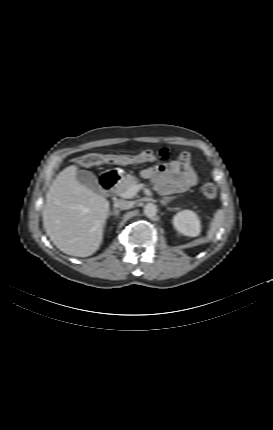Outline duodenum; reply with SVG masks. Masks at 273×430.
Segmentation results:
<instances>
[{
    "mask_svg": "<svg viewBox=\"0 0 273 430\" xmlns=\"http://www.w3.org/2000/svg\"><path fill=\"white\" fill-rule=\"evenodd\" d=\"M119 177L113 172H107L100 179L101 186L105 192H110L116 186Z\"/></svg>",
    "mask_w": 273,
    "mask_h": 430,
    "instance_id": "obj_1",
    "label": "duodenum"
}]
</instances>
